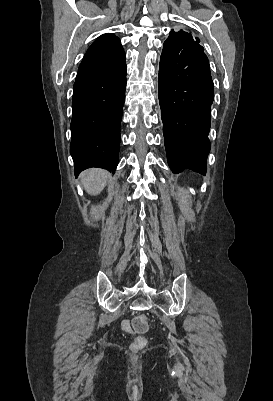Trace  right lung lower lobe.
I'll use <instances>...</instances> for the list:
<instances>
[{"label":"right lung lower lobe","instance_id":"1","mask_svg":"<svg viewBox=\"0 0 273 401\" xmlns=\"http://www.w3.org/2000/svg\"><path fill=\"white\" fill-rule=\"evenodd\" d=\"M126 72L124 58L100 72L75 80L70 153L76 176L90 167L116 170Z\"/></svg>","mask_w":273,"mask_h":401}]
</instances>
